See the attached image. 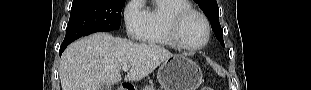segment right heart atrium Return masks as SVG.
<instances>
[{
    "mask_svg": "<svg viewBox=\"0 0 311 90\" xmlns=\"http://www.w3.org/2000/svg\"><path fill=\"white\" fill-rule=\"evenodd\" d=\"M127 36L132 40L141 39L145 27V10L142 0H131L123 11Z\"/></svg>",
    "mask_w": 311,
    "mask_h": 90,
    "instance_id": "right-heart-atrium-1",
    "label": "right heart atrium"
}]
</instances>
